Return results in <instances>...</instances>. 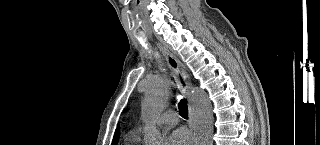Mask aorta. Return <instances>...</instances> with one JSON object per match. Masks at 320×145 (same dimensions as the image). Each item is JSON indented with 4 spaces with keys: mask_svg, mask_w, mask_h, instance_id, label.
Returning a JSON list of instances; mask_svg holds the SVG:
<instances>
[{
    "mask_svg": "<svg viewBox=\"0 0 320 145\" xmlns=\"http://www.w3.org/2000/svg\"><path fill=\"white\" fill-rule=\"evenodd\" d=\"M170 96V84L163 76L151 79L142 102L147 145H162L164 136L155 126L157 116L165 109ZM194 136L196 145H213L212 105L207 94L200 89L192 93Z\"/></svg>",
    "mask_w": 320,
    "mask_h": 145,
    "instance_id": "aorta-1",
    "label": "aorta"
}]
</instances>
